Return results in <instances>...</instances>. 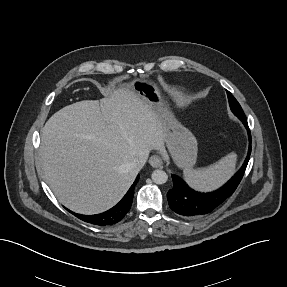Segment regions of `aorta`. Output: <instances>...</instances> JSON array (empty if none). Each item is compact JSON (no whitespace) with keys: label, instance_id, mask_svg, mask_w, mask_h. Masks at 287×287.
I'll return each mask as SVG.
<instances>
[{"label":"aorta","instance_id":"762f6f07","mask_svg":"<svg viewBox=\"0 0 287 287\" xmlns=\"http://www.w3.org/2000/svg\"><path fill=\"white\" fill-rule=\"evenodd\" d=\"M151 178L156 184H164L168 180V175L165 171L157 169L153 171Z\"/></svg>","mask_w":287,"mask_h":287}]
</instances>
